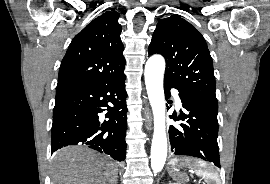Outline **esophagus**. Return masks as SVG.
<instances>
[{
	"label": "esophagus",
	"instance_id": "34e87169",
	"mask_svg": "<svg viewBox=\"0 0 270 184\" xmlns=\"http://www.w3.org/2000/svg\"><path fill=\"white\" fill-rule=\"evenodd\" d=\"M145 118H146V127L148 130H151L152 116L149 108H146L145 110Z\"/></svg>",
	"mask_w": 270,
	"mask_h": 184
}]
</instances>
